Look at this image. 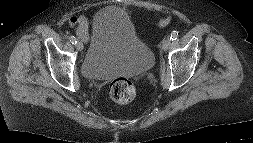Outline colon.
Returning a JSON list of instances; mask_svg holds the SVG:
<instances>
[{"instance_id": "colon-1", "label": "colon", "mask_w": 253, "mask_h": 143, "mask_svg": "<svg viewBox=\"0 0 253 143\" xmlns=\"http://www.w3.org/2000/svg\"><path fill=\"white\" fill-rule=\"evenodd\" d=\"M109 93L113 101L124 104L135 98L136 89L130 80L117 78L111 82Z\"/></svg>"}]
</instances>
